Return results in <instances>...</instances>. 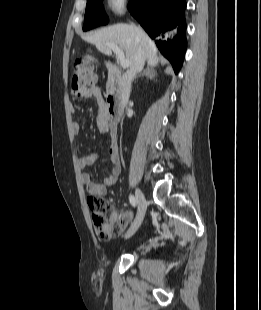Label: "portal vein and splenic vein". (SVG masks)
<instances>
[{
	"mask_svg": "<svg viewBox=\"0 0 261 310\" xmlns=\"http://www.w3.org/2000/svg\"><path fill=\"white\" fill-rule=\"evenodd\" d=\"M105 46L110 48L117 55L120 65L123 68L129 67V61L125 58L124 51L120 47L113 43H106Z\"/></svg>",
	"mask_w": 261,
	"mask_h": 310,
	"instance_id": "18ae733b",
	"label": "portal vein and splenic vein"
}]
</instances>
